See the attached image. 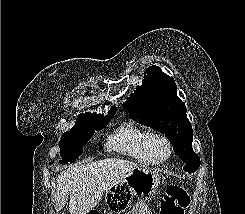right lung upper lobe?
I'll list each match as a JSON object with an SVG mask.
<instances>
[{
	"label": "right lung upper lobe",
	"instance_id": "right-lung-upper-lobe-1",
	"mask_svg": "<svg viewBox=\"0 0 245 214\" xmlns=\"http://www.w3.org/2000/svg\"><path fill=\"white\" fill-rule=\"evenodd\" d=\"M115 111H116V107L112 106V108L109 110V114L114 113ZM83 115H97V114L86 113V114H81L80 116H83Z\"/></svg>",
	"mask_w": 245,
	"mask_h": 214
}]
</instances>
